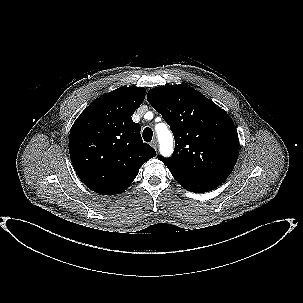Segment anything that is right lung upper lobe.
Returning a JSON list of instances; mask_svg holds the SVG:
<instances>
[{"instance_id": "right-lung-upper-lobe-1", "label": "right lung upper lobe", "mask_w": 303, "mask_h": 303, "mask_svg": "<svg viewBox=\"0 0 303 303\" xmlns=\"http://www.w3.org/2000/svg\"><path fill=\"white\" fill-rule=\"evenodd\" d=\"M144 98V88L122 86L96 99L74 122L69 135L71 162L92 191L102 195L125 191L140 167L156 156L131 117Z\"/></svg>"}]
</instances>
